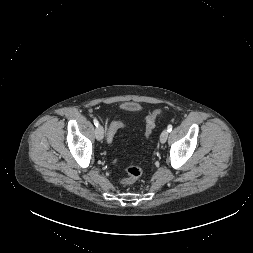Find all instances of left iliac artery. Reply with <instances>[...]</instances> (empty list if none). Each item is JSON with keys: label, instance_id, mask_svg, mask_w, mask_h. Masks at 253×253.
I'll list each match as a JSON object with an SVG mask.
<instances>
[{"label": "left iliac artery", "instance_id": "obj_1", "mask_svg": "<svg viewBox=\"0 0 253 253\" xmlns=\"http://www.w3.org/2000/svg\"><path fill=\"white\" fill-rule=\"evenodd\" d=\"M172 128H173V126H172L171 124L168 125V127H167L168 132H171V131H172Z\"/></svg>", "mask_w": 253, "mask_h": 253}]
</instances>
